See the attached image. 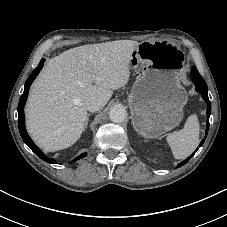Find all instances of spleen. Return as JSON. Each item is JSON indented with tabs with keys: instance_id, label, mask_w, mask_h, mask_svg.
<instances>
[{
	"instance_id": "3e777b00",
	"label": "spleen",
	"mask_w": 227,
	"mask_h": 227,
	"mask_svg": "<svg viewBox=\"0 0 227 227\" xmlns=\"http://www.w3.org/2000/svg\"><path fill=\"white\" fill-rule=\"evenodd\" d=\"M199 131L197 115L192 114L183 129L167 135L166 141L175 159H184L193 153L199 144Z\"/></svg>"
}]
</instances>
